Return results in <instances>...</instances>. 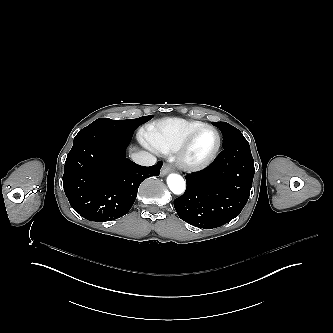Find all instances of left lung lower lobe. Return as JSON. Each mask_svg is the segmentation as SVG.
I'll return each mask as SVG.
<instances>
[{"mask_svg":"<svg viewBox=\"0 0 333 333\" xmlns=\"http://www.w3.org/2000/svg\"><path fill=\"white\" fill-rule=\"evenodd\" d=\"M254 173L247 140L224 148L207 168L185 176L186 191L174 200L178 216L203 229L230 222L248 201Z\"/></svg>","mask_w":333,"mask_h":333,"instance_id":"0a47b994","label":"left lung lower lobe"}]
</instances>
